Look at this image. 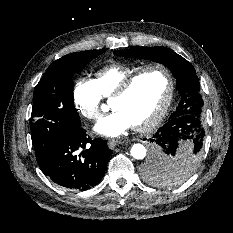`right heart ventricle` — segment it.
Masks as SVG:
<instances>
[{"label": "right heart ventricle", "mask_w": 233, "mask_h": 233, "mask_svg": "<svg viewBox=\"0 0 233 233\" xmlns=\"http://www.w3.org/2000/svg\"><path fill=\"white\" fill-rule=\"evenodd\" d=\"M142 67V65L112 64L96 71L94 81L101 96L110 98L127 77Z\"/></svg>", "instance_id": "1"}]
</instances>
